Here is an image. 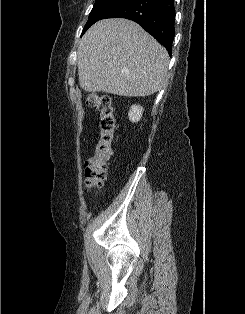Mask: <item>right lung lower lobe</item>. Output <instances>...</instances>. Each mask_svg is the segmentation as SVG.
I'll use <instances>...</instances> for the list:
<instances>
[{"instance_id":"obj_1","label":"right lung lower lobe","mask_w":245,"mask_h":314,"mask_svg":"<svg viewBox=\"0 0 245 314\" xmlns=\"http://www.w3.org/2000/svg\"><path fill=\"white\" fill-rule=\"evenodd\" d=\"M105 18H126L138 23L167 51L172 53L174 40V0H126Z\"/></svg>"}]
</instances>
